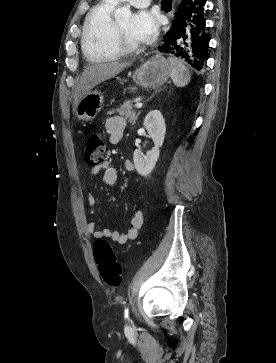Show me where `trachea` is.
Here are the masks:
<instances>
[{"instance_id":"trachea-1","label":"trachea","mask_w":276,"mask_h":363,"mask_svg":"<svg viewBox=\"0 0 276 363\" xmlns=\"http://www.w3.org/2000/svg\"><path fill=\"white\" fill-rule=\"evenodd\" d=\"M170 3H171V1H170V0H162L161 5H162V6H165V5H168V4H170Z\"/></svg>"}]
</instances>
